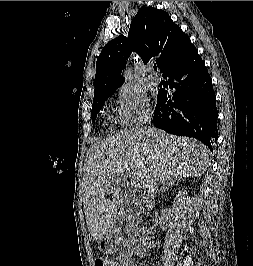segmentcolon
I'll list each match as a JSON object with an SVG mask.
<instances>
[{
    "instance_id": "obj_1",
    "label": "colon",
    "mask_w": 253,
    "mask_h": 266,
    "mask_svg": "<svg viewBox=\"0 0 253 266\" xmlns=\"http://www.w3.org/2000/svg\"><path fill=\"white\" fill-rule=\"evenodd\" d=\"M94 264L95 266H113V261L106 256H97Z\"/></svg>"
}]
</instances>
